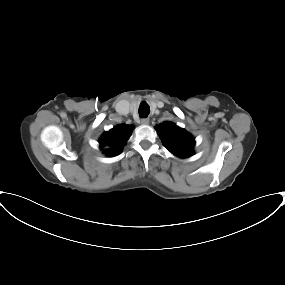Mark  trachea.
Here are the masks:
<instances>
[{
	"label": "trachea",
	"instance_id": "trachea-1",
	"mask_svg": "<svg viewBox=\"0 0 285 285\" xmlns=\"http://www.w3.org/2000/svg\"><path fill=\"white\" fill-rule=\"evenodd\" d=\"M138 111L141 118L147 117L150 113V107L146 103H142Z\"/></svg>",
	"mask_w": 285,
	"mask_h": 285
}]
</instances>
